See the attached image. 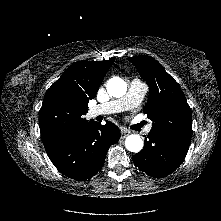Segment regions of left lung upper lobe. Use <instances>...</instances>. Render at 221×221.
I'll return each mask as SVG.
<instances>
[{"label":"left lung upper lobe","instance_id":"left-lung-upper-lobe-1","mask_svg":"<svg viewBox=\"0 0 221 221\" xmlns=\"http://www.w3.org/2000/svg\"><path fill=\"white\" fill-rule=\"evenodd\" d=\"M128 60L150 88L144 113L153 121L151 130L190 138L191 110L178 83L150 56H134Z\"/></svg>","mask_w":221,"mask_h":221}]
</instances>
